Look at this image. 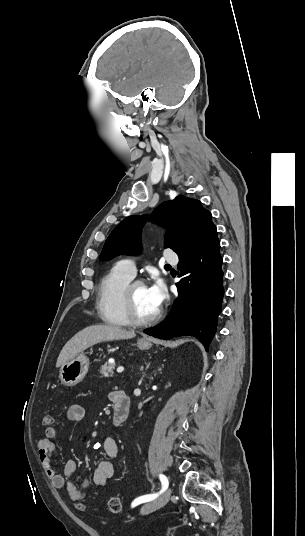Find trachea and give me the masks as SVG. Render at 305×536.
Instances as JSON below:
<instances>
[{
    "instance_id": "obj_1",
    "label": "trachea",
    "mask_w": 305,
    "mask_h": 536,
    "mask_svg": "<svg viewBox=\"0 0 305 536\" xmlns=\"http://www.w3.org/2000/svg\"><path fill=\"white\" fill-rule=\"evenodd\" d=\"M165 268L168 269V270H169V269H170V270H173V268L171 267V265H165Z\"/></svg>"
}]
</instances>
